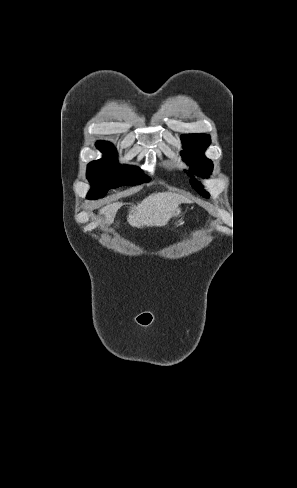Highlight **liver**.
<instances>
[{
  "mask_svg": "<svg viewBox=\"0 0 297 488\" xmlns=\"http://www.w3.org/2000/svg\"><path fill=\"white\" fill-rule=\"evenodd\" d=\"M184 200L183 196L172 192L151 194L141 203L130 207L127 221L136 228L159 226L171 218L172 213ZM121 206L122 203L116 202L108 204L100 210V214L105 216L106 224L113 223Z\"/></svg>",
  "mask_w": 297,
  "mask_h": 488,
  "instance_id": "liver-1",
  "label": "liver"
}]
</instances>
